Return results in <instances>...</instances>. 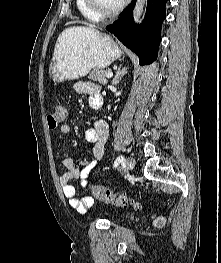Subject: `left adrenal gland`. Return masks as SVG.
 I'll use <instances>...</instances> for the list:
<instances>
[{
    "label": "left adrenal gland",
    "mask_w": 221,
    "mask_h": 263,
    "mask_svg": "<svg viewBox=\"0 0 221 263\" xmlns=\"http://www.w3.org/2000/svg\"><path fill=\"white\" fill-rule=\"evenodd\" d=\"M127 71H128L127 68H122V64H121L119 66L115 76L113 77L112 85H116L117 83H119V81L127 73Z\"/></svg>",
    "instance_id": "a2214340"
}]
</instances>
